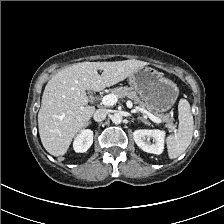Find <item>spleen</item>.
<instances>
[{"instance_id": "1", "label": "spleen", "mask_w": 224, "mask_h": 224, "mask_svg": "<svg viewBox=\"0 0 224 224\" xmlns=\"http://www.w3.org/2000/svg\"><path fill=\"white\" fill-rule=\"evenodd\" d=\"M178 110V131L169 135L166 140L170 159L179 157L190 145L193 136L194 121L189 102L186 99H181Z\"/></svg>"}]
</instances>
